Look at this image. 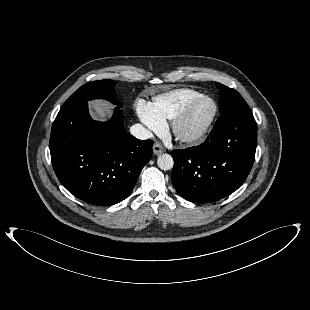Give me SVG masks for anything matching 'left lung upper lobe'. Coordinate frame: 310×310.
Listing matches in <instances>:
<instances>
[{"label":"left lung upper lobe","instance_id":"obj_1","mask_svg":"<svg viewBox=\"0 0 310 310\" xmlns=\"http://www.w3.org/2000/svg\"><path fill=\"white\" fill-rule=\"evenodd\" d=\"M216 87L219 90V109L221 112L217 122H222L249 110L247 103L236 90L217 82Z\"/></svg>","mask_w":310,"mask_h":310}]
</instances>
